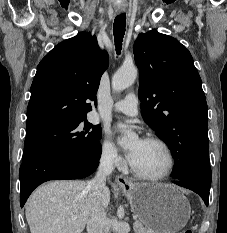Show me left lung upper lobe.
Returning <instances> with one entry per match:
<instances>
[{
  "label": "left lung upper lobe",
  "instance_id": "obj_1",
  "mask_svg": "<svg viewBox=\"0 0 227 233\" xmlns=\"http://www.w3.org/2000/svg\"><path fill=\"white\" fill-rule=\"evenodd\" d=\"M133 51L140 72L141 113L170 148L173 177L210 188L208 108L190 52L155 30L139 34Z\"/></svg>",
  "mask_w": 227,
  "mask_h": 233
}]
</instances>
